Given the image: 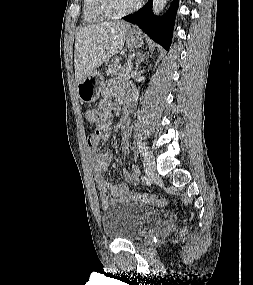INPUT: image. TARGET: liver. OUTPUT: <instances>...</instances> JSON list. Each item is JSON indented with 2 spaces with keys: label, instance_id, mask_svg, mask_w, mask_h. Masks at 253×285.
Returning a JSON list of instances; mask_svg holds the SVG:
<instances>
[{
  "label": "liver",
  "instance_id": "obj_1",
  "mask_svg": "<svg viewBox=\"0 0 253 285\" xmlns=\"http://www.w3.org/2000/svg\"><path fill=\"white\" fill-rule=\"evenodd\" d=\"M129 28L125 22H105L79 30L74 53L77 84L122 50Z\"/></svg>",
  "mask_w": 253,
  "mask_h": 285
}]
</instances>
